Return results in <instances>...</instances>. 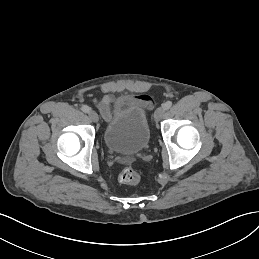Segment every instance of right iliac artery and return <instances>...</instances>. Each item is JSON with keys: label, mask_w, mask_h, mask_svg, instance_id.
Returning <instances> with one entry per match:
<instances>
[{"label": "right iliac artery", "mask_w": 259, "mask_h": 259, "mask_svg": "<svg viewBox=\"0 0 259 259\" xmlns=\"http://www.w3.org/2000/svg\"><path fill=\"white\" fill-rule=\"evenodd\" d=\"M81 110H82L83 112H85V113H88L89 110H90V108H89L87 105H83V106L81 107Z\"/></svg>", "instance_id": "obj_1"}]
</instances>
